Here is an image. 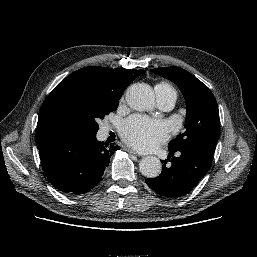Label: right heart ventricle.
<instances>
[{
	"label": "right heart ventricle",
	"instance_id": "1",
	"mask_svg": "<svg viewBox=\"0 0 257 257\" xmlns=\"http://www.w3.org/2000/svg\"><path fill=\"white\" fill-rule=\"evenodd\" d=\"M155 92L156 95L161 94V95H165V94H169V95H173L176 97V92L173 89V87L171 85H169L168 83L165 82H161L159 84H157L155 86Z\"/></svg>",
	"mask_w": 257,
	"mask_h": 257
}]
</instances>
